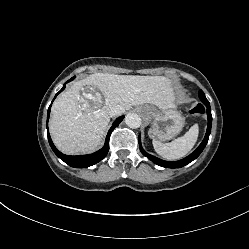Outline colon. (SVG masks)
I'll return each mask as SVG.
<instances>
[{
  "instance_id": "1",
  "label": "colon",
  "mask_w": 249,
  "mask_h": 249,
  "mask_svg": "<svg viewBox=\"0 0 249 249\" xmlns=\"http://www.w3.org/2000/svg\"><path fill=\"white\" fill-rule=\"evenodd\" d=\"M203 111H204V108L200 104H192L188 107L189 114L193 115V116H198V115L202 114Z\"/></svg>"
}]
</instances>
